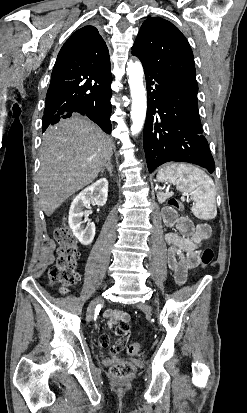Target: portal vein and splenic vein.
<instances>
[{"label": "portal vein and splenic vein", "mask_w": 247, "mask_h": 413, "mask_svg": "<svg viewBox=\"0 0 247 413\" xmlns=\"http://www.w3.org/2000/svg\"><path fill=\"white\" fill-rule=\"evenodd\" d=\"M187 193H188V192H187ZM187 193H186V192H182V193H181V196H182V197H186V196H187ZM189 201H192V198H189Z\"/></svg>", "instance_id": "portal-vein-and-splenic-vein-1"}]
</instances>
